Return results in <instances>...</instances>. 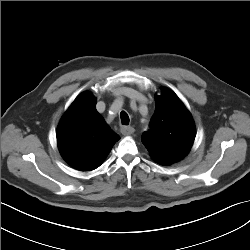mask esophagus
Here are the masks:
<instances>
[{"mask_svg": "<svg viewBox=\"0 0 250 250\" xmlns=\"http://www.w3.org/2000/svg\"><path fill=\"white\" fill-rule=\"evenodd\" d=\"M120 131L123 135L129 136L135 132V129L132 126H122L120 128Z\"/></svg>", "mask_w": 250, "mask_h": 250, "instance_id": "34e87169", "label": "esophagus"}]
</instances>
